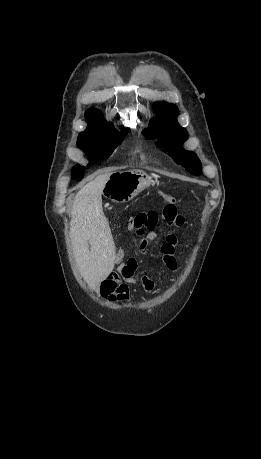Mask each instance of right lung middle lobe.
Instances as JSON below:
<instances>
[{
    "label": "right lung middle lobe",
    "instance_id": "1",
    "mask_svg": "<svg viewBox=\"0 0 261 459\" xmlns=\"http://www.w3.org/2000/svg\"><path fill=\"white\" fill-rule=\"evenodd\" d=\"M129 132L126 129L123 133ZM123 140V134L118 133L114 127L99 131L80 134L77 145L80 149L91 154L89 165L107 158L112 154L117 145ZM84 169L75 168L73 178L81 180L84 177Z\"/></svg>",
    "mask_w": 261,
    "mask_h": 459
}]
</instances>
